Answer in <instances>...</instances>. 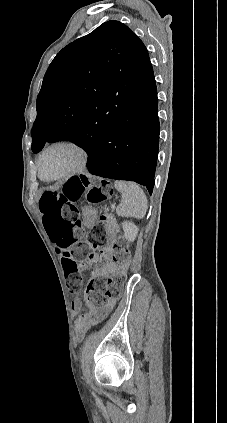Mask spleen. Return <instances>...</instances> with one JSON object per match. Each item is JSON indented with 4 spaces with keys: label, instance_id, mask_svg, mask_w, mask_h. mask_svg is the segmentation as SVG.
<instances>
[{
    "label": "spleen",
    "instance_id": "obj_1",
    "mask_svg": "<svg viewBox=\"0 0 227 423\" xmlns=\"http://www.w3.org/2000/svg\"><path fill=\"white\" fill-rule=\"evenodd\" d=\"M115 188L122 194V200L116 208L118 215L142 219L147 210V198L135 182H115Z\"/></svg>",
    "mask_w": 227,
    "mask_h": 423
}]
</instances>
